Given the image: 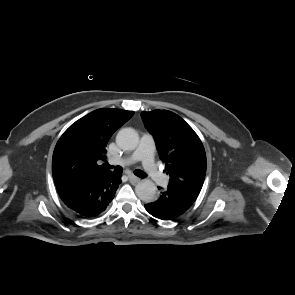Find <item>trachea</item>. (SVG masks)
<instances>
[{"mask_svg":"<svg viewBox=\"0 0 295 295\" xmlns=\"http://www.w3.org/2000/svg\"><path fill=\"white\" fill-rule=\"evenodd\" d=\"M105 165H106V167H108V168L114 169V172L117 173V174H121V173L123 172V168H122L121 166H115V167H114V166H111V165L108 164V163H106ZM134 174H135L136 176L140 177V178H145V177H147L146 173L143 172V171H141V170H139V169L134 170Z\"/></svg>","mask_w":295,"mask_h":295,"instance_id":"3493384b","label":"trachea"}]
</instances>
